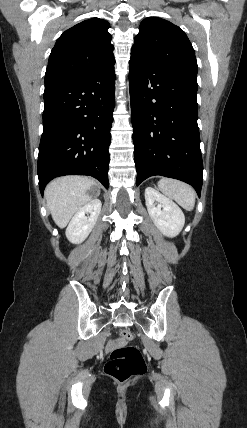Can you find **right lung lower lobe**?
<instances>
[{"label":"right lung lower lobe","mask_w":247,"mask_h":428,"mask_svg":"<svg viewBox=\"0 0 247 428\" xmlns=\"http://www.w3.org/2000/svg\"><path fill=\"white\" fill-rule=\"evenodd\" d=\"M115 60L69 82L45 87L39 145L41 194L55 177L90 175L108 188V148L115 106Z\"/></svg>","instance_id":"obj_1"}]
</instances>
